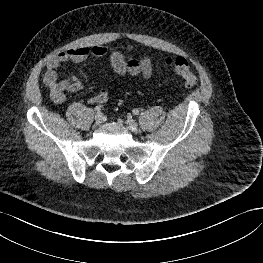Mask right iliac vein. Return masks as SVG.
<instances>
[{
  "label": "right iliac vein",
  "mask_w": 263,
  "mask_h": 263,
  "mask_svg": "<svg viewBox=\"0 0 263 263\" xmlns=\"http://www.w3.org/2000/svg\"><path fill=\"white\" fill-rule=\"evenodd\" d=\"M102 122H103V114L101 112H97L95 115V123L99 125Z\"/></svg>",
  "instance_id": "1"
}]
</instances>
